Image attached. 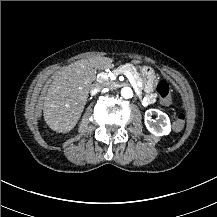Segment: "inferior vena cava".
<instances>
[{"instance_id":"1","label":"inferior vena cava","mask_w":217,"mask_h":217,"mask_svg":"<svg viewBox=\"0 0 217 217\" xmlns=\"http://www.w3.org/2000/svg\"><path fill=\"white\" fill-rule=\"evenodd\" d=\"M93 89L95 90H98V91H101L102 90V86L98 83H96L94 86H93Z\"/></svg>"}]
</instances>
